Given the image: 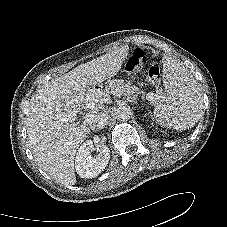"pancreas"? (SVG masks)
<instances>
[{
  "label": "pancreas",
  "instance_id": "1",
  "mask_svg": "<svg viewBox=\"0 0 227 227\" xmlns=\"http://www.w3.org/2000/svg\"><path fill=\"white\" fill-rule=\"evenodd\" d=\"M115 90L125 96L134 95L137 97L140 94L138 87L124 80H111L103 92L93 90L89 94H93L95 98L99 99L102 94H113Z\"/></svg>",
  "mask_w": 227,
  "mask_h": 227
}]
</instances>
